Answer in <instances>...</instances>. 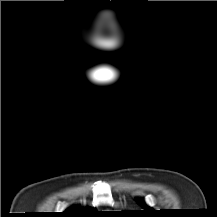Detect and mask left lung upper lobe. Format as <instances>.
<instances>
[{
    "label": "left lung upper lobe",
    "instance_id": "left-lung-upper-lobe-1",
    "mask_svg": "<svg viewBox=\"0 0 217 217\" xmlns=\"http://www.w3.org/2000/svg\"><path fill=\"white\" fill-rule=\"evenodd\" d=\"M136 201L138 202V204L143 207L146 211H150L152 210L150 207H148L141 199H136Z\"/></svg>",
    "mask_w": 217,
    "mask_h": 217
}]
</instances>
